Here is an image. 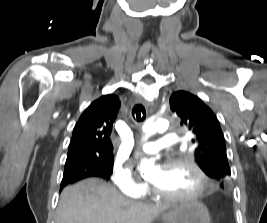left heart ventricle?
Listing matches in <instances>:
<instances>
[{
	"label": "left heart ventricle",
	"instance_id": "1",
	"mask_svg": "<svg viewBox=\"0 0 267 223\" xmlns=\"http://www.w3.org/2000/svg\"><path fill=\"white\" fill-rule=\"evenodd\" d=\"M150 181L160 192L170 195L191 194L199 185L195 172L186 165L156 169Z\"/></svg>",
	"mask_w": 267,
	"mask_h": 223
}]
</instances>
